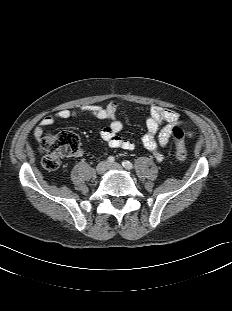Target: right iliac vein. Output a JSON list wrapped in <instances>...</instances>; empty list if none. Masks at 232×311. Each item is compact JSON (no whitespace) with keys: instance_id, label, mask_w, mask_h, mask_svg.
<instances>
[{"instance_id":"right-iliac-vein-1","label":"right iliac vein","mask_w":232,"mask_h":311,"mask_svg":"<svg viewBox=\"0 0 232 311\" xmlns=\"http://www.w3.org/2000/svg\"><path fill=\"white\" fill-rule=\"evenodd\" d=\"M108 166L109 165L106 161H102L96 166V172L98 174H103L108 169Z\"/></svg>"}]
</instances>
